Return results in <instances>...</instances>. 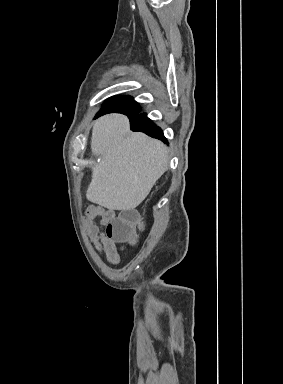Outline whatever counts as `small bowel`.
I'll use <instances>...</instances> for the list:
<instances>
[{"label": "small bowel", "instance_id": "obj_1", "mask_svg": "<svg viewBox=\"0 0 283 384\" xmlns=\"http://www.w3.org/2000/svg\"><path fill=\"white\" fill-rule=\"evenodd\" d=\"M115 218L116 213L113 210L102 206H89L84 220V225L91 242L97 251L105 253L108 262L111 264H118L120 262L115 240L107 234V227ZM97 219H99L98 224L95 222Z\"/></svg>", "mask_w": 283, "mask_h": 384}]
</instances>
